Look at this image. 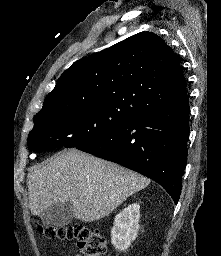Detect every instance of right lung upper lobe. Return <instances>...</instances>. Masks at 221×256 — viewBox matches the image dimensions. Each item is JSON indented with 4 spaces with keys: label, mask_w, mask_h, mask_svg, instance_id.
Returning <instances> with one entry per match:
<instances>
[{
    "label": "right lung upper lobe",
    "mask_w": 221,
    "mask_h": 256,
    "mask_svg": "<svg viewBox=\"0 0 221 256\" xmlns=\"http://www.w3.org/2000/svg\"><path fill=\"white\" fill-rule=\"evenodd\" d=\"M187 100L182 68L172 48L156 34L140 32L74 62L36 115L107 104L125 107L138 116Z\"/></svg>",
    "instance_id": "obj_1"
}]
</instances>
